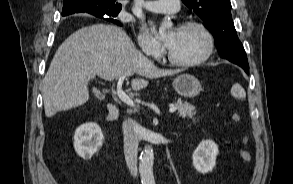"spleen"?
I'll return each instance as SVG.
<instances>
[{"mask_svg": "<svg viewBox=\"0 0 293 184\" xmlns=\"http://www.w3.org/2000/svg\"><path fill=\"white\" fill-rule=\"evenodd\" d=\"M231 94L234 98L236 99H241V100H244L246 98V92L245 90L243 89V87L238 84V83H235L232 88H231Z\"/></svg>", "mask_w": 293, "mask_h": 184, "instance_id": "spleen-1", "label": "spleen"}]
</instances>
